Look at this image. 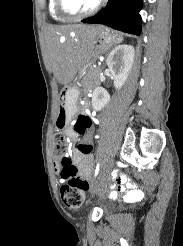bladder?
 <instances>
[{
  "instance_id": "31cf9c89",
  "label": "bladder",
  "mask_w": 183,
  "mask_h": 246,
  "mask_svg": "<svg viewBox=\"0 0 183 246\" xmlns=\"http://www.w3.org/2000/svg\"><path fill=\"white\" fill-rule=\"evenodd\" d=\"M109 209H111V206L110 205H107L106 206V210H109Z\"/></svg>"
}]
</instances>
